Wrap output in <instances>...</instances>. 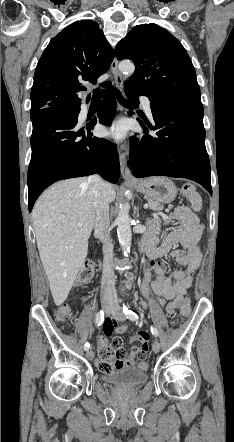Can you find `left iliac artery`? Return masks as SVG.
<instances>
[{
  "label": "left iliac artery",
  "mask_w": 234,
  "mask_h": 442,
  "mask_svg": "<svg viewBox=\"0 0 234 442\" xmlns=\"http://www.w3.org/2000/svg\"><path fill=\"white\" fill-rule=\"evenodd\" d=\"M123 312L127 316V318L132 321L138 319V315L132 310L128 309L125 305H123ZM151 332L155 337L158 336V330L155 327H151Z\"/></svg>",
  "instance_id": "1"
}]
</instances>
